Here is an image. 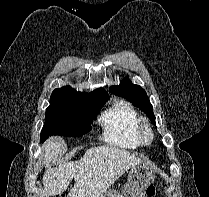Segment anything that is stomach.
<instances>
[{
    "instance_id": "1",
    "label": "stomach",
    "mask_w": 209,
    "mask_h": 197,
    "mask_svg": "<svg viewBox=\"0 0 209 197\" xmlns=\"http://www.w3.org/2000/svg\"><path fill=\"white\" fill-rule=\"evenodd\" d=\"M154 179L155 174L152 167L143 162L129 169L127 183L121 193L109 189L99 197H144L147 187Z\"/></svg>"
}]
</instances>
